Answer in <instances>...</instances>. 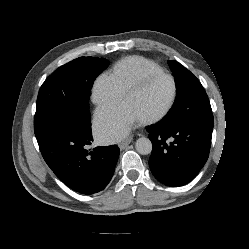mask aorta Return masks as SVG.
Listing matches in <instances>:
<instances>
[{"instance_id": "obj_1", "label": "aorta", "mask_w": 249, "mask_h": 249, "mask_svg": "<svg viewBox=\"0 0 249 249\" xmlns=\"http://www.w3.org/2000/svg\"><path fill=\"white\" fill-rule=\"evenodd\" d=\"M135 148L141 155H148L152 151V142L146 137H140L135 142Z\"/></svg>"}]
</instances>
